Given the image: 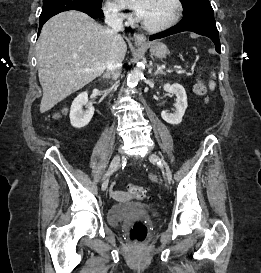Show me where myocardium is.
I'll return each instance as SVG.
<instances>
[{
    "instance_id": "1",
    "label": "myocardium",
    "mask_w": 261,
    "mask_h": 273,
    "mask_svg": "<svg viewBox=\"0 0 261 273\" xmlns=\"http://www.w3.org/2000/svg\"><path fill=\"white\" fill-rule=\"evenodd\" d=\"M171 2L174 5V12L172 17L167 22L160 25H148L141 22L142 27L150 32H161L175 25L181 17L183 5L181 0H171Z\"/></svg>"
}]
</instances>
